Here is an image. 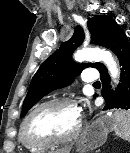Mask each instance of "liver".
I'll list each match as a JSON object with an SVG mask.
<instances>
[{"mask_svg":"<svg viewBox=\"0 0 130 153\" xmlns=\"http://www.w3.org/2000/svg\"><path fill=\"white\" fill-rule=\"evenodd\" d=\"M56 153H69V151L68 150H59Z\"/></svg>","mask_w":130,"mask_h":153,"instance_id":"1","label":"liver"}]
</instances>
